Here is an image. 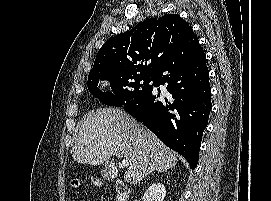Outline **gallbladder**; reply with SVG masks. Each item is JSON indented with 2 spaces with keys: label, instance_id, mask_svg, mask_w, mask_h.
<instances>
[{
  "label": "gallbladder",
  "instance_id": "gallbladder-1",
  "mask_svg": "<svg viewBox=\"0 0 271 201\" xmlns=\"http://www.w3.org/2000/svg\"><path fill=\"white\" fill-rule=\"evenodd\" d=\"M101 176L106 179L110 180L116 177V169L112 162H107L103 169H101Z\"/></svg>",
  "mask_w": 271,
  "mask_h": 201
}]
</instances>
